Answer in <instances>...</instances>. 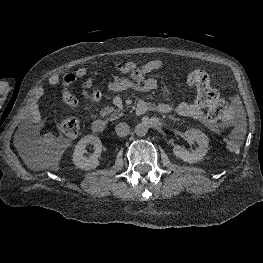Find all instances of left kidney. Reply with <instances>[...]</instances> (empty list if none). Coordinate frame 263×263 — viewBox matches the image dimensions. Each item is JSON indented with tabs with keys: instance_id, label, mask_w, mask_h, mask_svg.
Listing matches in <instances>:
<instances>
[{
	"instance_id": "1",
	"label": "left kidney",
	"mask_w": 263,
	"mask_h": 263,
	"mask_svg": "<svg viewBox=\"0 0 263 263\" xmlns=\"http://www.w3.org/2000/svg\"><path fill=\"white\" fill-rule=\"evenodd\" d=\"M184 136L188 142L195 141L198 148L190 152L179 145H175L173 148L174 155L188 163L200 161L208 152L209 139L207 135L198 129H189L185 131Z\"/></svg>"
}]
</instances>
